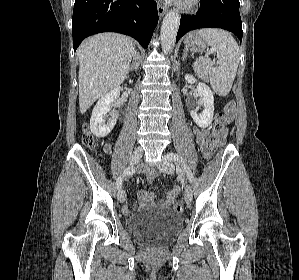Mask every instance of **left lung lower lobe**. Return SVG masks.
I'll list each match as a JSON object with an SVG mask.
<instances>
[{"label": "left lung lower lobe", "mask_w": 299, "mask_h": 280, "mask_svg": "<svg viewBox=\"0 0 299 280\" xmlns=\"http://www.w3.org/2000/svg\"><path fill=\"white\" fill-rule=\"evenodd\" d=\"M239 0H201L196 15H182L176 42L187 32L199 28H222L242 41Z\"/></svg>", "instance_id": "left-lung-lower-lobe-1"}]
</instances>
